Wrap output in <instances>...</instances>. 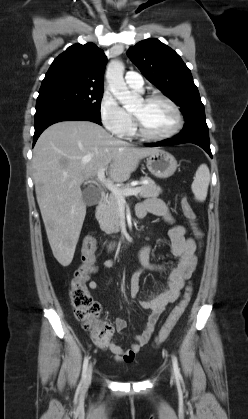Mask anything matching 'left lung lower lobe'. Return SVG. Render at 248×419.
<instances>
[{
	"instance_id": "left-lung-lower-lobe-1",
	"label": "left lung lower lobe",
	"mask_w": 248,
	"mask_h": 419,
	"mask_svg": "<svg viewBox=\"0 0 248 419\" xmlns=\"http://www.w3.org/2000/svg\"><path fill=\"white\" fill-rule=\"evenodd\" d=\"M181 143H193L203 148L212 158L209 131L206 122H198L188 128H183L182 132L174 138L166 139L155 144H148V146H169Z\"/></svg>"
}]
</instances>
